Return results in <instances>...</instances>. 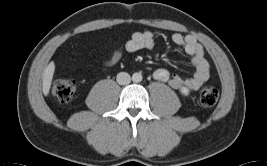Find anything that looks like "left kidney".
<instances>
[{"mask_svg":"<svg viewBox=\"0 0 267 166\" xmlns=\"http://www.w3.org/2000/svg\"><path fill=\"white\" fill-rule=\"evenodd\" d=\"M180 92L185 96H187L189 94V90L186 87H182L180 89Z\"/></svg>","mask_w":267,"mask_h":166,"instance_id":"left-kidney-1","label":"left kidney"}]
</instances>
